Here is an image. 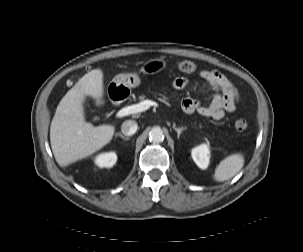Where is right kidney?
Returning a JSON list of instances; mask_svg holds the SVG:
<instances>
[{
    "instance_id": "ca27d5eb",
    "label": "right kidney",
    "mask_w": 303,
    "mask_h": 252,
    "mask_svg": "<svg viewBox=\"0 0 303 252\" xmlns=\"http://www.w3.org/2000/svg\"><path fill=\"white\" fill-rule=\"evenodd\" d=\"M116 161L117 155L115 152L102 153L95 158V164L100 168H110L116 163Z\"/></svg>"
}]
</instances>
